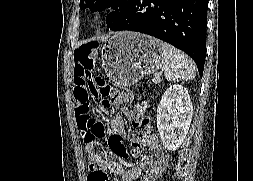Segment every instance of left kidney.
<instances>
[{
  "label": "left kidney",
  "instance_id": "5707ae66",
  "mask_svg": "<svg viewBox=\"0 0 253 181\" xmlns=\"http://www.w3.org/2000/svg\"><path fill=\"white\" fill-rule=\"evenodd\" d=\"M193 116L189 93L182 85H171L157 108V129L165 149L177 150L188 133Z\"/></svg>",
  "mask_w": 253,
  "mask_h": 181
}]
</instances>
